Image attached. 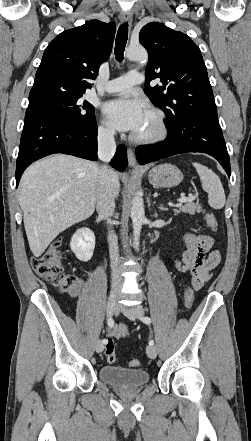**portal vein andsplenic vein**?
<instances>
[{"mask_svg":"<svg viewBox=\"0 0 251 441\" xmlns=\"http://www.w3.org/2000/svg\"><path fill=\"white\" fill-rule=\"evenodd\" d=\"M192 200H194V196L193 195H189V197L183 196V197L179 198L178 202L179 203H183V202L192 201Z\"/></svg>","mask_w":251,"mask_h":441,"instance_id":"18ae733b","label":"portal vein and splenic vein"}]
</instances>
